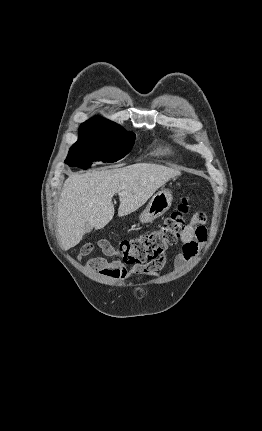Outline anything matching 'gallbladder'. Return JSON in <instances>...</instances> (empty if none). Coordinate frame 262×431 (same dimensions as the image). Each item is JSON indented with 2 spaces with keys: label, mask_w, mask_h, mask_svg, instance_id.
Returning <instances> with one entry per match:
<instances>
[{
  "label": "gallbladder",
  "mask_w": 262,
  "mask_h": 431,
  "mask_svg": "<svg viewBox=\"0 0 262 431\" xmlns=\"http://www.w3.org/2000/svg\"><path fill=\"white\" fill-rule=\"evenodd\" d=\"M92 231V227L91 226H86L84 229V234H88Z\"/></svg>",
  "instance_id": "gallbladder-1"
}]
</instances>
